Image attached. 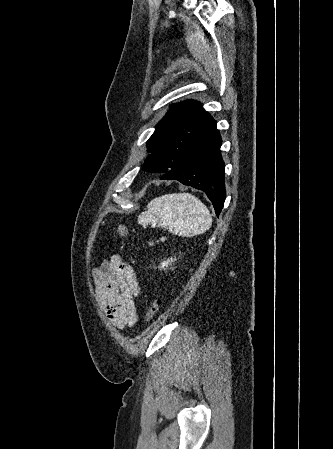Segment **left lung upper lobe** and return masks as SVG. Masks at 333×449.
Masks as SVG:
<instances>
[{
  "label": "left lung upper lobe",
  "mask_w": 333,
  "mask_h": 449,
  "mask_svg": "<svg viewBox=\"0 0 333 449\" xmlns=\"http://www.w3.org/2000/svg\"><path fill=\"white\" fill-rule=\"evenodd\" d=\"M210 114L200 102L187 100L171 106L147 142L155 160L151 172L163 173L179 167Z\"/></svg>",
  "instance_id": "5c2ea615"
}]
</instances>
